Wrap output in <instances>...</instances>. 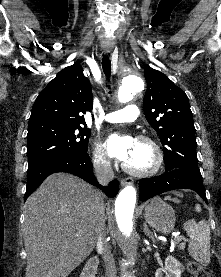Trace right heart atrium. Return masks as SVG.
I'll use <instances>...</instances> for the list:
<instances>
[{
    "mask_svg": "<svg viewBox=\"0 0 221 277\" xmlns=\"http://www.w3.org/2000/svg\"><path fill=\"white\" fill-rule=\"evenodd\" d=\"M93 161L95 167L100 171L106 172L109 171L111 168V163L107 155L105 146L100 142H97L95 144L93 151Z\"/></svg>",
    "mask_w": 221,
    "mask_h": 277,
    "instance_id": "right-heart-atrium-1",
    "label": "right heart atrium"
}]
</instances>
